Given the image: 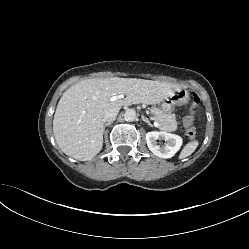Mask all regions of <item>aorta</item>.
I'll return each instance as SVG.
<instances>
[{
	"instance_id": "obj_1",
	"label": "aorta",
	"mask_w": 249,
	"mask_h": 249,
	"mask_svg": "<svg viewBox=\"0 0 249 249\" xmlns=\"http://www.w3.org/2000/svg\"><path fill=\"white\" fill-rule=\"evenodd\" d=\"M136 111L134 109H127L124 113V118L126 121H134L136 119Z\"/></svg>"
}]
</instances>
